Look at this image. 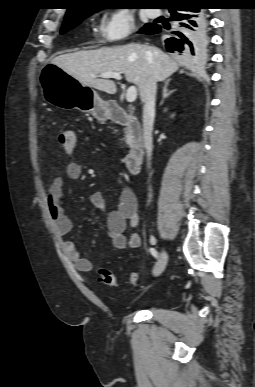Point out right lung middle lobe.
Wrapping results in <instances>:
<instances>
[{"mask_svg":"<svg viewBox=\"0 0 255 387\" xmlns=\"http://www.w3.org/2000/svg\"><path fill=\"white\" fill-rule=\"evenodd\" d=\"M96 11H98V10L88 11V12L82 13L80 15L65 16V19H64V22H63V25L61 28V34H64L67 31H69L70 29L74 28L75 26L80 24L83 19L87 18L88 16H90L91 14H93ZM151 25H153V24L148 23L144 26V28L149 27Z\"/></svg>","mask_w":255,"mask_h":387,"instance_id":"1","label":"right lung middle lobe"}]
</instances>
